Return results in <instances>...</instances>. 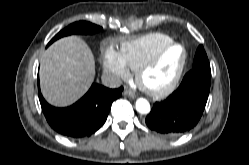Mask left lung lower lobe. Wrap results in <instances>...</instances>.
Returning a JSON list of instances; mask_svg holds the SVG:
<instances>
[{
  "instance_id": "left-lung-lower-lobe-1",
  "label": "left lung lower lobe",
  "mask_w": 249,
  "mask_h": 165,
  "mask_svg": "<svg viewBox=\"0 0 249 165\" xmlns=\"http://www.w3.org/2000/svg\"><path fill=\"white\" fill-rule=\"evenodd\" d=\"M211 70L191 69L180 86L164 101L156 102L146 117L147 126L168 137L180 136L200 120L206 106Z\"/></svg>"
}]
</instances>
